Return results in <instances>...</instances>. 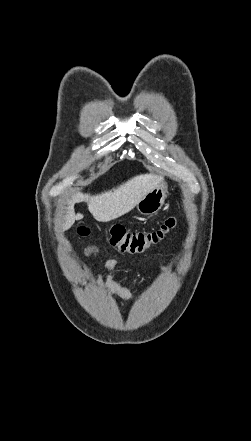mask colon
<instances>
[{
    "mask_svg": "<svg viewBox=\"0 0 251 441\" xmlns=\"http://www.w3.org/2000/svg\"><path fill=\"white\" fill-rule=\"evenodd\" d=\"M175 217L166 218L161 225L150 231H130L119 224L111 225L108 229L109 243L121 252L142 253L163 241L176 227ZM78 232L82 236L89 234V228L81 226Z\"/></svg>",
    "mask_w": 251,
    "mask_h": 441,
    "instance_id": "colon-1",
    "label": "colon"
}]
</instances>
